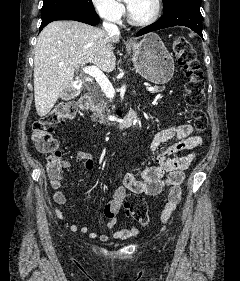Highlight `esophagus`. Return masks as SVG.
I'll return each instance as SVG.
<instances>
[{
  "label": "esophagus",
  "mask_w": 240,
  "mask_h": 281,
  "mask_svg": "<svg viewBox=\"0 0 240 281\" xmlns=\"http://www.w3.org/2000/svg\"><path fill=\"white\" fill-rule=\"evenodd\" d=\"M128 43H129V44H133L132 41H129Z\"/></svg>",
  "instance_id": "obj_1"
}]
</instances>
